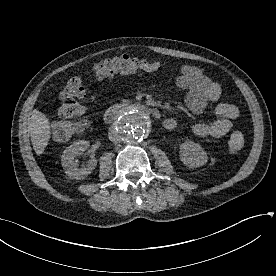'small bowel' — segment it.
<instances>
[{
    "label": "small bowel",
    "instance_id": "c3829d8e",
    "mask_svg": "<svg viewBox=\"0 0 276 276\" xmlns=\"http://www.w3.org/2000/svg\"><path fill=\"white\" fill-rule=\"evenodd\" d=\"M162 61H152L148 64L147 72L168 69ZM175 84L187 90L185 104L193 113H201L209 105L216 103L221 97V87L213 82L199 67L183 64L179 67ZM216 119L212 122H199L193 126V132L199 137L219 138L226 135L232 128L233 121L239 117V109L229 103H217L213 108ZM178 123L174 118H166L163 126L173 130Z\"/></svg>",
    "mask_w": 276,
    "mask_h": 276
}]
</instances>
